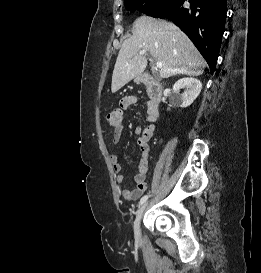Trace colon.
Instances as JSON below:
<instances>
[{
    "mask_svg": "<svg viewBox=\"0 0 261 273\" xmlns=\"http://www.w3.org/2000/svg\"><path fill=\"white\" fill-rule=\"evenodd\" d=\"M122 111L120 109H114L107 114V122L111 126H119L122 123Z\"/></svg>",
    "mask_w": 261,
    "mask_h": 273,
    "instance_id": "colon-1",
    "label": "colon"
}]
</instances>
